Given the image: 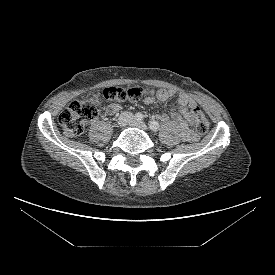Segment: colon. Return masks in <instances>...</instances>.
I'll return each mask as SVG.
<instances>
[{
	"instance_id": "colon-1",
	"label": "colon",
	"mask_w": 275,
	"mask_h": 275,
	"mask_svg": "<svg viewBox=\"0 0 275 275\" xmlns=\"http://www.w3.org/2000/svg\"><path fill=\"white\" fill-rule=\"evenodd\" d=\"M137 88L109 87L90 99L71 102L58 116V123L68 137H78L85 131L88 122L98 115V104L103 100L113 102H135L142 96ZM195 129L203 135L209 129V122L198 106L191 109Z\"/></svg>"
}]
</instances>
